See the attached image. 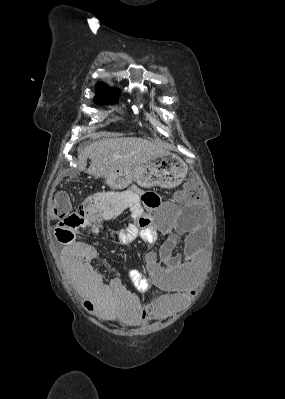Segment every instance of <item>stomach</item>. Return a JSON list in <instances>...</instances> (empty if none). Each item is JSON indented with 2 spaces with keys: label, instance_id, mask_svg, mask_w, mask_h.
Here are the masks:
<instances>
[{
  "label": "stomach",
  "instance_id": "stomach-1",
  "mask_svg": "<svg viewBox=\"0 0 285 399\" xmlns=\"http://www.w3.org/2000/svg\"><path fill=\"white\" fill-rule=\"evenodd\" d=\"M188 167L172 153L159 154L128 170L105 177L106 184L113 190H122L135 181L140 187L174 188L185 178Z\"/></svg>",
  "mask_w": 285,
  "mask_h": 399
}]
</instances>
